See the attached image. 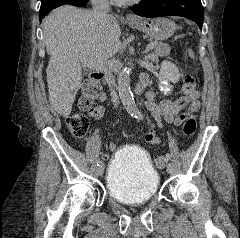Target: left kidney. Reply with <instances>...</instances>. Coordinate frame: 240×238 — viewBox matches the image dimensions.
I'll use <instances>...</instances> for the list:
<instances>
[{
  "mask_svg": "<svg viewBox=\"0 0 240 238\" xmlns=\"http://www.w3.org/2000/svg\"><path fill=\"white\" fill-rule=\"evenodd\" d=\"M160 89L164 93L172 90L171 83H177L180 79V73L175 64L170 61H163L161 63L160 73Z\"/></svg>",
  "mask_w": 240,
  "mask_h": 238,
  "instance_id": "5707ae66",
  "label": "left kidney"
}]
</instances>
